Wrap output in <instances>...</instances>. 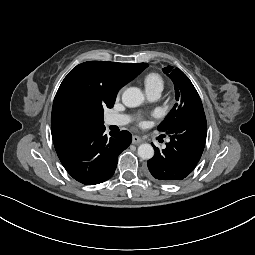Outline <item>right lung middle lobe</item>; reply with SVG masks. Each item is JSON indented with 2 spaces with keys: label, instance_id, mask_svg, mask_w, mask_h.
<instances>
[{
  "label": "right lung middle lobe",
  "instance_id": "1",
  "mask_svg": "<svg viewBox=\"0 0 255 255\" xmlns=\"http://www.w3.org/2000/svg\"><path fill=\"white\" fill-rule=\"evenodd\" d=\"M63 106L69 114L78 119L97 116L103 120V107L99 100L79 91H71L64 96ZM109 108L113 106H108Z\"/></svg>",
  "mask_w": 255,
  "mask_h": 255
}]
</instances>
